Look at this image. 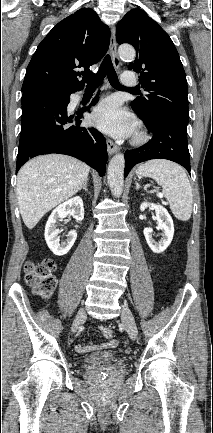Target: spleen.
Listing matches in <instances>:
<instances>
[{
    "label": "spleen",
    "mask_w": 213,
    "mask_h": 433,
    "mask_svg": "<svg viewBox=\"0 0 213 433\" xmlns=\"http://www.w3.org/2000/svg\"><path fill=\"white\" fill-rule=\"evenodd\" d=\"M138 176L150 177L160 186L174 216L187 221L192 213V189L185 170L167 160H151L140 165Z\"/></svg>",
    "instance_id": "spleen-1"
}]
</instances>
